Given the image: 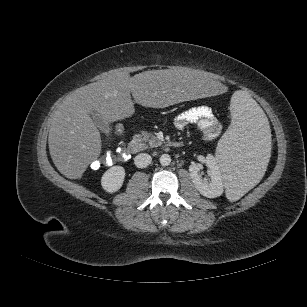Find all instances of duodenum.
Returning a JSON list of instances; mask_svg holds the SVG:
<instances>
[{"label":"duodenum","instance_id":"duodenum-1","mask_svg":"<svg viewBox=\"0 0 307 307\" xmlns=\"http://www.w3.org/2000/svg\"><path fill=\"white\" fill-rule=\"evenodd\" d=\"M168 146L173 147V148H180L182 144L178 141H170L168 143ZM139 149H140V144L138 141L136 140L130 141L128 143V154L127 155L135 154L139 151Z\"/></svg>","mask_w":307,"mask_h":307}]
</instances>
